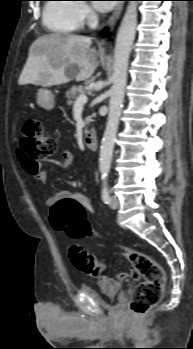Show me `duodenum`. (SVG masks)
<instances>
[{"instance_id": "410a0bca", "label": "duodenum", "mask_w": 193, "mask_h": 349, "mask_svg": "<svg viewBox=\"0 0 193 349\" xmlns=\"http://www.w3.org/2000/svg\"><path fill=\"white\" fill-rule=\"evenodd\" d=\"M84 145L88 152H94L98 147V138L94 131L88 130L85 133L84 137Z\"/></svg>"}]
</instances>
